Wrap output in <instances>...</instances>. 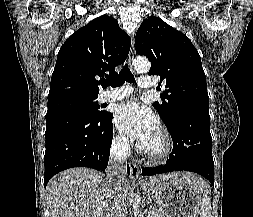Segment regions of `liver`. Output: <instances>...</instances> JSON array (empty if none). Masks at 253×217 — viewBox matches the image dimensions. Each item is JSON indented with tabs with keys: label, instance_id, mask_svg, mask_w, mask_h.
<instances>
[{
	"label": "liver",
	"instance_id": "liver-1",
	"mask_svg": "<svg viewBox=\"0 0 253 217\" xmlns=\"http://www.w3.org/2000/svg\"><path fill=\"white\" fill-rule=\"evenodd\" d=\"M166 178H175L193 186L204 188L205 182L190 172H174L150 178L157 183ZM111 180L101 172L89 168H72L54 176L47 186V201L50 217H113L110 193ZM131 189L126 179L122 184L120 214L124 211L126 197Z\"/></svg>",
	"mask_w": 253,
	"mask_h": 217
}]
</instances>
